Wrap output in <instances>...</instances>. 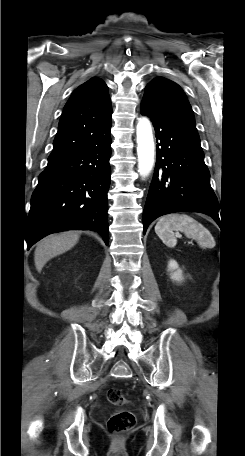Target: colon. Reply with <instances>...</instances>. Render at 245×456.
Segmentation results:
<instances>
[{"instance_id": "5ec220e1", "label": "colon", "mask_w": 245, "mask_h": 456, "mask_svg": "<svg viewBox=\"0 0 245 456\" xmlns=\"http://www.w3.org/2000/svg\"><path fill=\"white\" fill-rule=\"evenodd\" d=\"M107 400L117 407H122L127 403L122 391L118 388H110L107 391ZM135 423L136 417L133 412L127 409H119L110 416L107 427L109 432L120 434L130 430Z\"/></svg>"}]
</instances>
